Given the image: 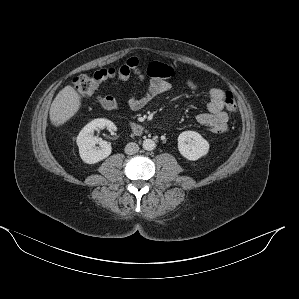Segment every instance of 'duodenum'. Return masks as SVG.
<instances>
[{
	"instance_id": "duodenum-1",
	"label": "duodenum",
	"mask_w": 299,
	"mask_h": 299,
	"mask_svg": "<svg viewBox=\"0 0 299 299\" xmlns=\"http://www.w3.org/2000/svg\"><path fill=\"white\" fill-rule=\"evenodd\" d=\"M129 125L132 129V131L137 135H142L144 132V128L141 124L136 122H129Z\"/></svg>"
}]
</instances>
